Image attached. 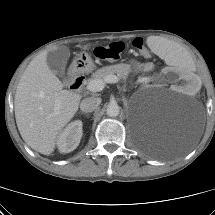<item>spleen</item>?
<instances>
[{
	"label": "spleen",
	"instance_id": "1",
	"mask_svg": "<svg viewBox=\"0 0 215 215\" xmlns=\"http://www.w3.org/2000/svg\"><path fill=\"white\" fill-rule=\"evenodd\" d=\"M147 45L157 58L168 65L184 70H189L193 66V60L186 49L171 40L151 36L147 40Z\"/></svg>",
	"mask_w": 215,
	"mask_h": 215
}]
</instances>
